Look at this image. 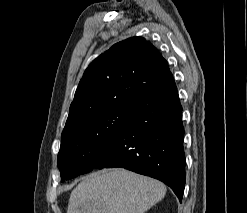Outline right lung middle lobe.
Masks as SVG:
<instances>
[{"label": "right lung middle lobe", "mask_w": 247, "mask_h": 213, "mask_svg": "<svg viewBox=\"0 0 247 213\" xmlns=\"http://www.w3.org/2000/svg\"><path fill=\"white\" fill-rule=\"evenodd\" d=\"M130 113V99L124 100L63 133L58 154L61 180L91 171Z\"/></svg>", "instance_id": "right-lung-middle-lobe-1"}]
</instances>
